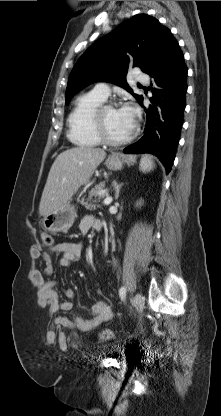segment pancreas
I'll list each match as a JSON object with an SVG mask.
<instances>
[{
  "instance_id": "1",
  "label": "pancreas",
  "mask_w": 221,
  "mask_h": 416,
  "mask_svg": "<svg viewBox=\"0 0 221 416\" xmlns=\"http://www.w3.org/2000/svg\"><path fill=\"white\" fill-rule=\"evenodd\" d=\"M103 188L104 185L99 184L96 185L93 189H91V191L89 192L88 200L86 202L82 201V204L85 206L86 209L95 210L96 207H101V205L97 204V202H99L107 196V193L104 192Z\"/></svg>"
}]
</instances>
